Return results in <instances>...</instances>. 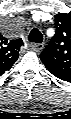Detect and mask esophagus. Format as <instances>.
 Returning <instances> with one entry per match:
<instances>
[{
	"label": "esophagus",
	"mask_w": 71,
	"mask_h": 119,
	"mask_svg": "<svg viewBox=\"0 0 71 119\" xmlns=\"http://www.w3.org/2000/svg\"><path fill=\"white\" fill-rule=\"evenodd\" d=\"M44 48V43H34L31 45V49L35 52H40Z\"/></svg>",
	"instance_id": "esophagus-1"
}]
</instances>
